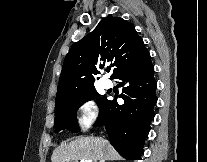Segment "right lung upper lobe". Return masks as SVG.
<instances>
[{
    "instance_id": "1",
    "label": "right lung upper lobe",
    "mask_w": 207,
    "mask_h": 162,
    "mask_svg": "<svg viewBox=\"0 0 207 162\" xmlns=\"http://www.w3.org/2000/svg\"><path fill=\"white\" fill-rule=\"evenodd\" d=\"M148 54L133 24L118 17L105 18L66 55L56 99L95 89L94 75L105 63L114 67L111 75L114 78Z\"/></svg>"
}]
</instances>
